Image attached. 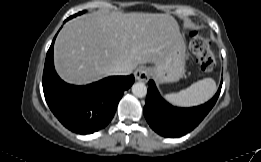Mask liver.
Returning a JSON list of instances; mask_svg holds the SVG:
<instances>
[{"label": "liver", "instance_id": "1", "mask_svg": "<svg viewBox=\"0 0 261 162\" xmlns=\"http://www.w3.org/2000/svg\"><path fill=\"white\" fill-rule=\"evenodd\" d=\"M179 36V25L169 14H85L59 32L55 68L68 83H91L114 75L117 65L134 70L139 64L162 61Z\"/></svg>", "mask_w": 261, "mask_h": 162}]
</instances>
